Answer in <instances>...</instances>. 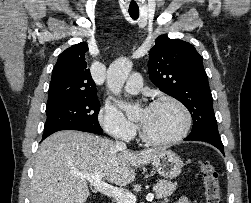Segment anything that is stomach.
Returning <instances> with one entry per match:
<instances>
[{"label": "stomach", "mask_w": 251, "mask_h": 203, "mask_svg": "<svg viewBox=\"0 0 251 203\" xmlns=\"http://www.w3.org/2000/svg\"><path fill=\"white\" fill-rule=\"evenodd\" d=\"M153 165L162 177L172 179L181 173L184 163L173 151L164 150L153 161Z\"/></svg>", "instance_id": "obj_1"}]
</instances>
